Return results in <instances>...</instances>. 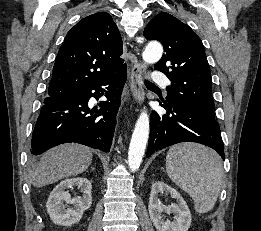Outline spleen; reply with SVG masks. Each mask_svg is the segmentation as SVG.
<instances>
[{"mask_svg": "<svg viewBox=\"0 0 261 231\" xmlns=\"http://www.w3.org/2000/svg\"><path fill=\"white\" fill-rule=\"evenodd\" d=\"M169 178L194 200L199 213L210 211L218 198L224 177L220 156L194 143L172 146L166 156Z\"/></svg>", "mask_w": 261, "mask_h": 231, "instance_id": "3e777b00", "label": "spleen"}]
</instances>
